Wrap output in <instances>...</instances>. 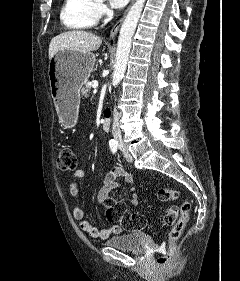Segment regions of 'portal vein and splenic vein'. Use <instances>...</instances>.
<instances>
[{
	"instance_id": "portal-vein-and-splenic-vein-1",
	"label": "portal vein and splenic vein",
	"mask_w": 240,
	"mask_h": 281,
	"mask_svg": "<svg viewBox=\"0 0 240 281\" xmlns=\"http://www.w3.org/2000/svg\"><path fill=\"white\" fill-rule=\"evenodd\" d=\"M92 87L94 88V93H96L97 92V87H98V84L97 83H94L93 85H92Z\"/></svg>"
}]
</instances>
